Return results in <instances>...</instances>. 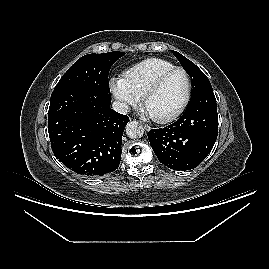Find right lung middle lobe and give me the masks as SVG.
I'll return each instance as SVG.
<instances>
[{
	"instance_id": "right-lung-middle-lobe-1",
	"label": "right lung middle lobe",
	"mask_w": 269,
	"mask_h": 269,
	"mask_svg": "<svg viewBox=\"0 0 269 269\" xmlns=\"http://www.w3.org/2000/svg\"><path fill=\"white\" fill-rule=\"evenodd\" d=\"M123 55H125L124 52L118 51L85 55L66 71L55 89L83 87L109 93V70L117 59Z\"/></svg>"
}]
</instances>
